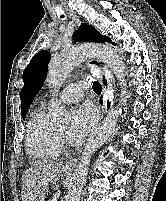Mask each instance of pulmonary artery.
<instances>
[{
  "mask_svg": "<svg viewBox=\"0 0 166 201\" xmlns=\"http://www.w3.org/2000/svg\"><path fill=\"white\" fill-rule=\"evenodd\" d=\"M89 86V83H87L86 81L69 84L60 93V102L75 103L80 101L84 96V89L89 88Z\"/></svg>",
  "mask_w": 166,
  "mask_h": 201,
  "instance_id": "e3ab8cb5",
  "label": "pulmonary artery"
}]
</instances>
